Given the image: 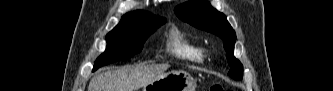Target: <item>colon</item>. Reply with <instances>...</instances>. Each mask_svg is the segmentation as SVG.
I'll return each instance as SVG.
<instances>
[{"mask_svg": "<svg viewBox=\"0 0 333 91\" xmlns=\"http://www.w3.org/2000/svg\"><path fill=\"white\" fill-rule=\"evenodd\" d=\"M208 91H225V88L224 86L219 83V82H216V83H213L211 84L208 89Z\"/></svg>", "mask_w": 333, "mask_h": 91, "instance_id": "colon-1", "label": "colon"}]
</instances>
